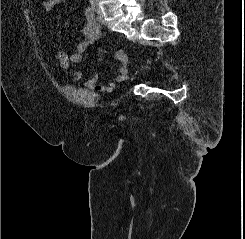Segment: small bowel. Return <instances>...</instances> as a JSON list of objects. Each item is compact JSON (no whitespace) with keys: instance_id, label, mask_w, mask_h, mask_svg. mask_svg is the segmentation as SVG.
<instances>
[{"instance_id":"1","label":"small bowel","mask_w":245,"mask_h":239,"mask_svg":"<svg viewBox=\"0 0 245 239\" xmlns=\"http://www.w3.org/2000/svg\"><path fill=\"white\" fill-rule=\"evenodd\" d=\"M66 0H46L43 2V8L47 11L54 9L56 6L63 4ZM86 24L81 30V35L84 40L76 45L75 52L68 54L64 51L57 53V58L62 69L70 71L74 81H81L83 79V72L79 69H73V65L79 63L83 54L93 46L101 36L100 26L95 20L90 8L86 10ZM114 58L121 64L118 67L117 74L114 80L105 84H99L97 75L94 74L86 83L85 86L89 90H94L102 93L112 92L118 83L127 80L128 77V63L127 57L123 49L116 47L114 51ZM96 70L102 69L99 65H95Z\"/></svg>"}]
</instances>
